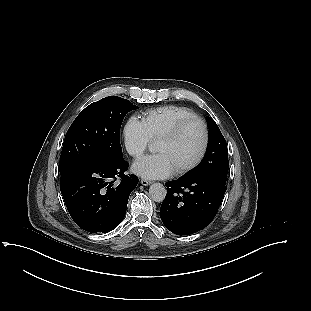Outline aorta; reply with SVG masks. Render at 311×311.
Instances as JSON below:
<instances>
[{"instance_id": "obj_1", "label": "aorta", "mask_w": 311, "mask_h": 311, "mask_svg": "<svg viewBox=\"0 0 311 311\" xmlns=\"http://www.w3.org/2000/svg\"><path fill=\"white\" fill-rule=\"evenodd\" d=\"M166 193V188L161 183H153L149 188V196L155 202H162Z\"/></svg>"}]
</instances>
